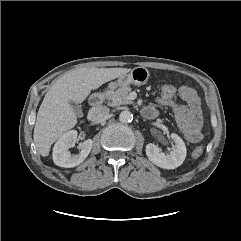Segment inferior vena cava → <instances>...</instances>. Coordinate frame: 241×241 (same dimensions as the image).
Here are the masks:
<instances>
[{
	"label": "inferior vena cava",
	"instance_id": "1",
	"mask_svg": "<svg viewBox=\"0 0 241 241\" xmlns=\"http://www.w3.org/2000/svg\"><path fill=\"white\" fill-rule=\"evenodd\" d=\"M109 111L106 106H98L91 108L89 115L92 120H102L108 116Z\"/></svg>",
	"mask_w": 241,
	"mask_h": 241
}]
</instances>
